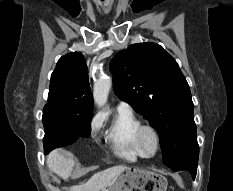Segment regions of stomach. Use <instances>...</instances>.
<instances>
[{
  "mask_svg": "<svg viewBox=\"0 0 233 191\" xmlns=\"http://www.w3.org/2000/svg\"><path fill=\"white\" fill-rule=\"evenodd\" d=\"M167 179L154 171L127 167L102 191H166Z\"/></svg>",
  "mask_w": 233,
  "mask_h": 191,
  "instance_id": "1",
  "label": "stomach"
}]
</instances>
